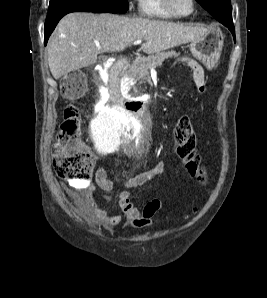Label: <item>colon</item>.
I'll return each instance as SVG.
<instances>
[{"label":"colon","mask_w":267,"mask_h":298,"mask_svg":"<svg viewBox=\"0 0 267 298\" xmlns=\"http://www.w3.org/2000/svg\"><path fill=\"white\" fill-rule=\"evenodd\" d=\"M85 88V76L79 72L67 74L61 82V93L68 104L64 108L57 141L53 147L52 165L56 174L65 180L85 181L90 177L94 167L89 155L73 154L68 149L69 145L79 140L81 136V120L72 102L83 95ZM173 138L176 152L189 174L203 183L207 182V175L197 152L196 133L187 116L176 120Z\"/></svg>","instance_id":"5ec220e1"}]
</instances>
